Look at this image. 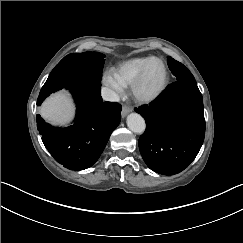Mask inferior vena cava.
Returning a JSON list of instances; mask_svg holds the SVG:
<instances>
[{"label": "inferior vena cava", "instance_id": "1", "mask_svg": "<svg viewBox=\"0 0 243 243\" xmlns=\"http://www.w3.org/2000/svg\"><path fill=\"white\" fill-rule=\"evenodd\" d=\"M101 95L105 101H109V102H119L120 101L119 96L110 88H102Z\"/></svg>", "mask_w": 243, "mask_h": 243}]
</instances>
